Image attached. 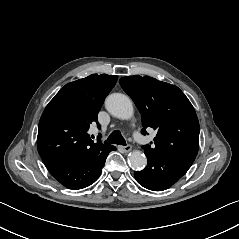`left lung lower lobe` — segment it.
<instances>
[{
  "label": "left lung lower lobe",
  "instance_id": "1",
  "mask_svg": "<svg viewBox=\"0 0 239 239\" xmlns=\"http://www.w3.org/2000/svg\"><path fill=\"white\" fill-rule=\"evenodd\" d=\"M148 164L134 172L137 182L153 191H162L175 184L190 168L196 155L187 153L156 154L145 150Z\"/></svg>",
  "mask_w": 239,
  "mask_h": 239
}]
</instances>
